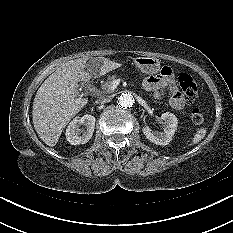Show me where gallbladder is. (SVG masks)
Returning <instances> with one entry per match:
<instances>
[{"label":"gallbladder","instance_id":"obj_1","mask_svg":"<svg viewBox=\"0 0 233 233\" xmlns=\"http://www.w3.org/2000/svg\"><path fill=\"white\" fill-rule=\"evenodd\" d=\"M97 60H100V57L97 58H91L88 63L86 64L87 70L91 73L93 70V66L96 63Z\"/></svg>","mask_w":233,"mask_h":233}]
</instances>
